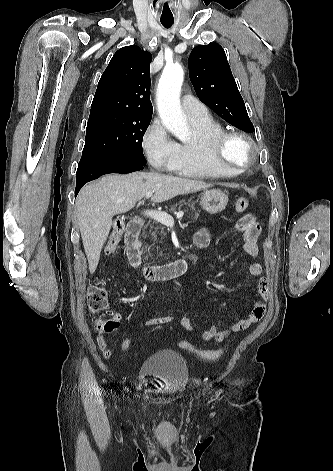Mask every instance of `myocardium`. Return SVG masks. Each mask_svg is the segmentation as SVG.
I'll return each mask as SVG.
<instances>
[{"mask_svg":"<svg viewBox=\"0 0 333 471\" xmlns=\"http://www.w3.org/2000/svg\"><path fill=\"white\" fill-rule=\"evenodd\" d=\"M231 143H239L245 150V158L242 162L231 161L227 157V150ZM254 143L252 140L238 132L225 131L218 135L211 144V156L220 167L240 172L247 169L253 160Z\"/></svg>","mask_w":333,"mask_h":471,"instance_id":"obj_1","label":"myocardium"}]
</instances>
